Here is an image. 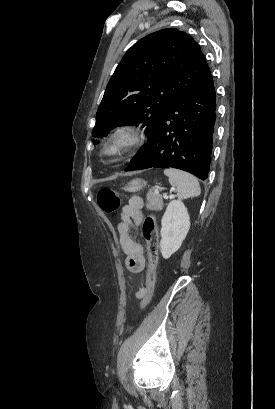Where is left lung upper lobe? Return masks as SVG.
I'll return each mask as SVG.
<instances>
[{"label": "left lung upper lobe", "mask_w": 275, "mask_h": 409, "mask_svg": "<svg viewBox=\"0 0 275 409\" xmlns=\"http://www.w3.org/2000/svg\"><path fill=\"white\" fill-rule=\"evenodd\" d=\"M209 73L199 45L185 32L169 28L147 35L118 64L92 135L102 137L114 127L142 123L150 137L176 100Z\"/></svg>", "instance_id": "obj_1"}]
</instances>
